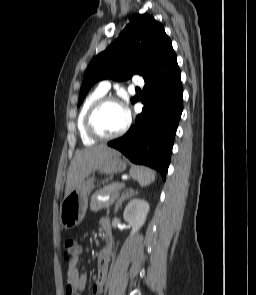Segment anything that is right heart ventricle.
Segmentation results:
<instances>
[{"instance_id": "obj_1", "label": "right heart ventricle", "mask_w": 256, "mask_h": 295, "mask_svg": "<svg viewBox=\"0 0 256 295\" xmlns=\"http://www.w3.org/2000/svg\"><path fill=\"white\" fill-rule=\"evenodd\" d=\"M106 93L102 92L99 88L93 90L84 100L82 107L79 112L78 120H77V127L79 131L80 138L84 145H94L96 140L91 138L84 127L85 116L88 109L91 105L98 100L99 98L103 97Z\"/></svg>"}]
</instances>
